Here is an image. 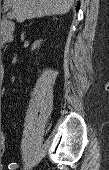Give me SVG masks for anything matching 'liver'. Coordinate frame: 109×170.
Segmentation results:
<instances>
[{"label":"liver","instance_id":"1","mask_svg":"<svg viewBox=\"0 0 109 170\" xmlns=\"http://www.w3.org/2000/svg\"><path fill=\"white\" fill-rule=\"evenodd\" d=\"M75 0H5L10 4L17 22L45 15H62L69 12Z\"/></svg>","mask_w":109,"mask_h":170}]
</instances>
